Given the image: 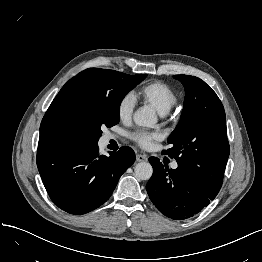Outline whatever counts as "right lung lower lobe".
Returning <instances> with one entry per match:
<instances>
[{
    "instance_id": "1",
    "label": "right lung lower lobe",
    "mask_w": 262,
    "mask_h": 262,
    "mask_svg": "<svg viewBox=\"0 0 262 262\" xmlns=\"http://www.w3.org/2000/svg\"><path fill=\"white\" fill-rule=\"evenodd\" d=\"M109 154L100 155L97 144L80 140L40 138L37 166L52 201L75 215L105 203L121 175L135 161L130 147Z\"/></svg>"
}]
</instances>
